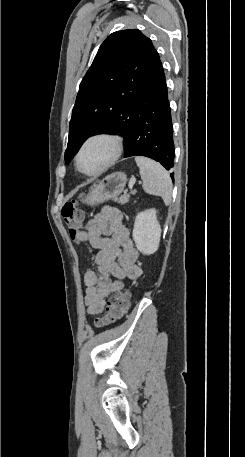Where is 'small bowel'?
Returning a JSON list of instances; mask_svg holds the SVG:
<instances>
[{
    "label": "small bowel",
    "instance_id": "obj_1",
    "mask_svg": "<svg viewBox=\"0 0 245 457\" xmlns=\"http://www.w3.org/2000/svg\"><path fill=\"white\" fill-rule=\"evenodd\" d=\"M76 241L98 250L94 258L97 270H88L84 275V302L88 313L99 314L111 294L123 289V280L142 275L137 265L138 252L122 213L111 206L103 207L90 219Z\"/></svg>",
    "mask_w": 245,
    "mask_h": 457
}]
</instances>
